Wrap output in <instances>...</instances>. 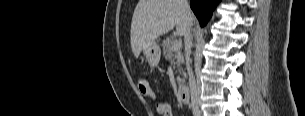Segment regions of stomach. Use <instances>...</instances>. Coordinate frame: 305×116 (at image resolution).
Masks as SVG:
<instances>
[{"label": "stomach", "instance_id": "obj_1", "mask_svg": "<svg viewBox=\"0 0 305 116\" xmlns=\"http://www.w3.org/2000/svg\"><path fill=\"white\" fill-rule=\"evenodd\" d=\"M142 50L148 64L151 67H156L159 64L161 57V49L157 42L152 41L146 44Z\"/></svg>", "mask_w": 305, "mask_h": 116}]
</instances>
